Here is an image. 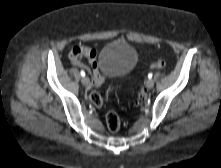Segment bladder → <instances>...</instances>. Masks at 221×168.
I'll list each match as a JSON object with an SVG mask.
<instances>
[{"mask_svg": "<svg viewBox=\"0 0 221 168\" xmlns=\"http://www.w3.org/2000/svg\"><path fill=\"white\" fill-rule=\"evenodd\" d=\"M137 59V52L131 45L123 40H117L101 49L99 66L105 74L120 77L134 68Z\"/></svg>", "mask_w": 221, "mask_h": 168, "instance_id": "bladder-1", "label": "bladder"}]
</instances>
